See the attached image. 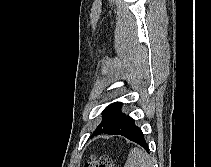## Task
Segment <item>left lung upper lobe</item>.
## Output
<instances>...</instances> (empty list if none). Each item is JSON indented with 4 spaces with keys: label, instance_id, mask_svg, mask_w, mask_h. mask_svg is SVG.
<instances>
[{
    "label": "left lung upper lobe",
    "instance_id": "obj_1",
    "mask_svg": "<svg viewBox=\"0 0 211 167\" xmlns=\"http://www.w3.org/2000/svg\"><path fill=\"white\" fill-rule=\"evenodd\" d=\"M121 106H122V103L120 102H115L107 106L102 112L103 121L101 122L99 126L107 125L111 123L114 119H116L121 114V111H120Z\"/></svg>",
    "mask_w": 211,
    "mask_h": 167
}]
</instances>
